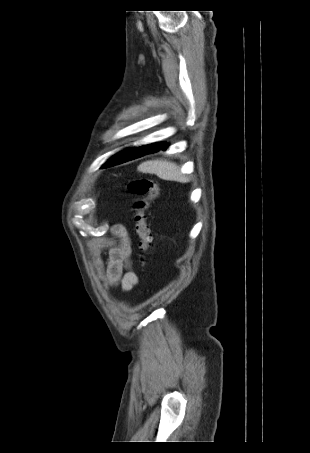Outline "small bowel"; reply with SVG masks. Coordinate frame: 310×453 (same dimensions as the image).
Returning a JSON list of instances; mask_svg holds the SVG:
<instances>
[{
	"label": "small bowel",
	"instance_id": "obj_1",
	"mask_svg": "<svg viewBox=\"0 0 310 453\" xmlns=\"http://www.w3.org/2000/svg\"><path fill=\"white\" fill-rule=\"evenodd\" d=\"M111 234L117 239L105 259L99 247H93L96 264L107 287H120L123 291L133 289L138 283V276L131 268L132 246L126 228L116 224L111 228ZM125 270V272H124Z\"/></svg>",
	"mask_w": 310,
	"mask_h": 453
}]
</instances>
